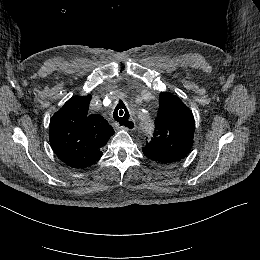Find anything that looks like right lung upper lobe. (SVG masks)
<instances>
[{"label": "right lung upper lobe", "instance_id": "cb5924a9", "mask_svg": "<svg viewBox=\"0 0 260 260\" xmlns=\"http://www.w3.org/2000/svg\"><path fill=\"white\" fill-rule=\"evenodd\" d=\"M91 96H74L50 121V144L55 154L73 168H85L102 156V147L114 134L108 122L88 114Z\"/></svg>", "mask_w": 260, "mask_h": 260}]
</instances>
